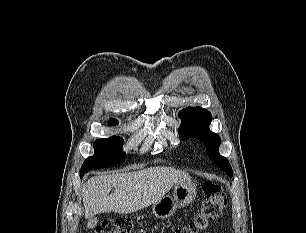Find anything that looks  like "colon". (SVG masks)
Instances as JSON below:
<instances>
[{
	"label": "colon",
	"instance_id": "obj_1",
	"mask_svg": "<svg viewBox=\"0 0 306 233\" xmlns=\"http://www.w3.org/2000/svg\"><path fill=\"white\" fill-rule=\"evenodd\" d=\"M205 199L201 208L191 221L186 225L178 227L175 233H200L208 228L212 222L217 220L226 206L227 199L220 184L205 181L202 184ZM135 232L132 221L121 218L117 220H106L93 233H133Z\"/></svg>",
	"mask_w": 306,
	"mask_h": 233
}]
</instances>
